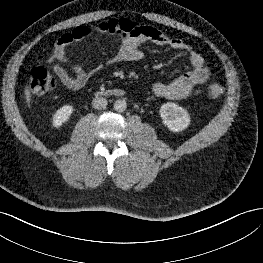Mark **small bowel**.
Instances as JSON below:
<instances>
[{
    "instance_id": "obj_1",
    "label": "small bowel",
    "mask_w": 263,
    "mask_h": 263,
    "mask_svg": "<svg viewBox=\"0 0 263 263\" xmlns=\"http://www.w3.org/2000/svg\"><path fill=\"white\" fill-rule=\"evenodd\" d=\"M95 34H109L120 38V48L114 58V61L118 62L142 59L144 56L142 46L146 44L185 52L191 63V70L170 82H156L153 85V92L159 97L173 100L185 98L197 85L203 84L209 78L210 71L205 65L202 55L182 39L165 35L151 26H136L127 19H111L93 26H78L72 31L58 36L54 41L53 51L49 55L48 62L63 85L70 90L83 88L101 66L90 70L84 69L68 57L66 48ZM59 63L69 65L74 75H69Z\"/></svg>"
}]
</instances>
